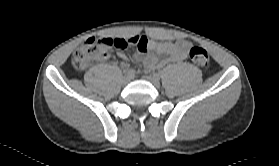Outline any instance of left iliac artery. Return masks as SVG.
<instances>
[{
  "label": "left iliac artery",
  "mask_w": 279,
  "mask_h": 166,
  "mask_svg": "<svg viewBox=\"0 0 279 166\" xmlns=\"http://www.w3.org/2000/svg\"><path fill=\"white\" fill-rule=\"evenodd\" d=\"M155 76H157V77H160V74H154Z\"/></svg>",
  "instance_id": "obj_1"
}]
</instances>
